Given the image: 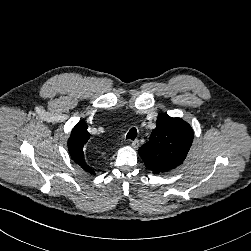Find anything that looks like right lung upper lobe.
Returning a JSON list of instances; mask_svg holds the SVG:
<instances>
[{
    "label": "right lung upper lobe",
    "instance_id": "right-lung-upper-lobe-1",
    "mask_svg": "<svg viewBox=\"0 0 251 251\" xmlns=\"http://www.w3.org/2000/svg\"><path fill=\"white\" fill-rule=\"evenodd\" d=\"M88 125L84 121H79L73 128L68 140V149L72 159L86 172L95 174L84 157L83 147L90 138L87 131Z\"/></svg>",
    "mask_w": 251,
    "mask_h": 251
}]
</instances>
